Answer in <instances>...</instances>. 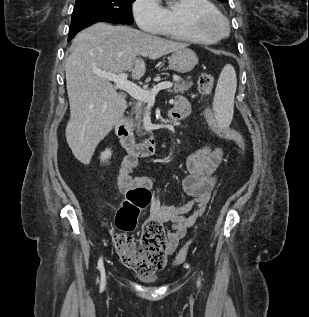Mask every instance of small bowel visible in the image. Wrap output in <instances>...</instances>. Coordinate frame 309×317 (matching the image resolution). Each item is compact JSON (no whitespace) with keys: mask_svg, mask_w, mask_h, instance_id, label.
Returning <instances> with one entry per match:
<instances>
[{"mask_svg":"<svg viewBox=\"0 0 309 317\" xmlns=\"http://www.w3.org/2000/svg\"><path fill=\"white\" fill-rule=\"evenodd\" d=\"M190 113V104L184 97H176L170 117L181 120ZM222 150L206 144L192 153L187 159L188 174L182 181L183 191L191 198L176 206H165L160 199L161 188H155L152 181L145 176H133L138 158L127 155L120 166L117 185L122 194L142 188L151 193L149 204L150 218L160 223H169L167 233V253L172 254L179 242L206 211L212 191L216 185V171L222 160Z\"/></svg>","mask_w":309,"mask_h":317,"instance_id":"obj_1","label":"small bowel"}]
</instances>
